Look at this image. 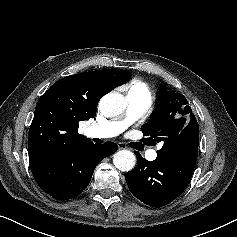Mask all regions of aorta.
Here are the masks:
<instances>
[{
	"label": "aorta",
	"mask_w": 237,
	"mask_h": 237,
	"mask_svg": "<svg viewBox=\"0 0 237 237\" xmlns=\"http://www.w3.org/2000/svg\"><path fill=\"white\" fill-rule=\"evenodd\" d=\"M99 107L105 115L112 117L125 110L126 102L122 94L110 92L100 99ZM113 163L118 170L128 172L134 168L136 157L129 150H119L114 154Z\"/></svg>",
	"instance_id": "aorta-1"
}]
</instances>
